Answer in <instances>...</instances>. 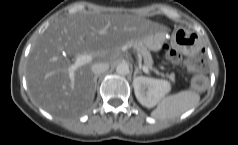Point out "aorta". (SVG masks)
<instances>
[{
	"mask_svg": "<svg viewBox=\"0 0 238 145\" xmlns=\"http://www.w3.org/2000/svg\"><path fill=\"white\" fill-rule=\"evenodd\" d=\"M116 72L119 75H127L129 73V65L126 62H121L116 67Z\"/></svg>",
	"mask_w": 238,
	"mask_h": 145,
	"instance_id": "1",
	"label": "aorta"
}]
</instances>
